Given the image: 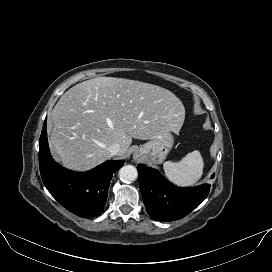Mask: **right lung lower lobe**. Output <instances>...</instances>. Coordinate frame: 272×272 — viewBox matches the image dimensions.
Instances as JSON below:
<instances>
[{
  "label": "right lung lower lobe",
  "mask_w": 272,
  "mask_h": 272,
  "mask_svg": "<svg viewBox=\"0 0 272 272\" xmlns=\"http://www.w3.org/2000/svg\"><path fill=\"white\" fill-rule=\"evenodd\" d=\"M123 164L124 160H110L84 173L61 167L50 156L45 120L39 140L41 177L51 195L70 212L83 218L100 215L113 173Z\"/></svg>",
  "instance_id": "obj_1"
}]
</instances>
